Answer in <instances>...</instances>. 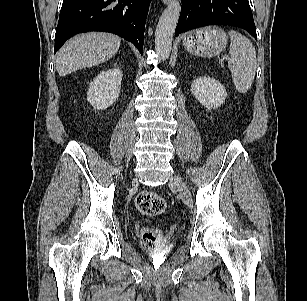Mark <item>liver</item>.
<instances>
[{
  "label": "liver",
  "instance_id": "liver-1",
  "mask_svg": "<svg viewBox=\"0 0 307 301\" xmlns=\"http://www.w3.org/2000/svg\"><path fill=\"white\" fill-rule=\"evenodd\" d=\"M120 37L105 32L77 35L67 41L56 55V69L60 76L79 69L98 65L114 56Z\"/></svg>",
  "mask_w": 307,
  "mask_h": 301
}]
</instances>
